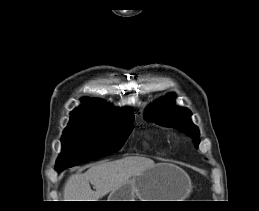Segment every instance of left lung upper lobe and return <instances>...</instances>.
<instances>
[{
  "label": "left lung upper lobe",
  "instance_id": "1",
  "mask_svg": "<svg viewBox=\"0 0 259 211\" xmlns=\"http://www.w3.org/2000/svg\"><path fill=\"white\" fill-rule=\"evenodd\" d=\"M190 117L191 112L188 109L173 104L172 95L151 105L144 114V119L147 121L173 127L194 138L197 146L200 134Z\"/></svg>",
  "mask_w": 259,
  "mask_h": 211
}]
</instances>
